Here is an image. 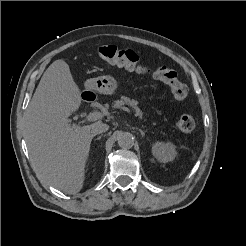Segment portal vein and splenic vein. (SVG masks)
<instances>
[{"mask_svg":"<svg viewBox=\"0 0 246 246\" xmlns=\"http://www.w3.org/2000/svg\"><path fill=\"white\" fill-rule=\"evenodd\" d=\"M121 109H122L123 111L128 112V113L131 112V110H130L129 108H127V107H121ZM102 117H103V114H102L101 112L95 111V112L90 113L89 115H87L85 121H88V122L96 121V120H98V119H100V118H102ZM140 118H141V117H140Z\"/></svg>","mask_w":246,"mask_h":246,"instance_id":"portal-vein-and-splenic-vein-1","label":"portal vein and splenic vein"}]
</instances>
